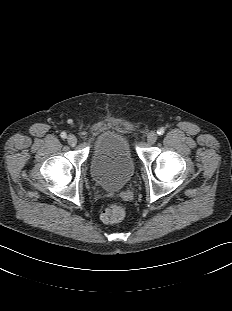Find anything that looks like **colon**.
<instances>
[{
    "label": "colon",
    "mask_w": 232,
    "mask_h": 311,
    "mask_svg": "<svg viewBox=\"0 0 232 311\" xmlns=\"http://www.w3.org/2000/svg\"><path fill=\"white\" fill-rule=\"evenodd\" d=\"M125 216V208L120 203H114L108 206L101 214L105 223L115 224L120 222Z\"/></svg>",
    "instance_id": "colon-1"
}]
</instances>
